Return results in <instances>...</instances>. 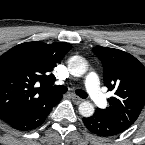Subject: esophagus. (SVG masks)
I'll use <instances>...</instances> for the list:
<instances>
[{
    "instance_id": "esophagus-1",
    "label": "esophagus",
    "mask_w": 145,
    "mask_h": 145,
    "mask_svg": "<svg viewBox=\"0 0 145 145\" xmlns=\"http://www.w3.org/2000/svg\"><path fill=\"white\" fill-rule=\"evenodd\" d=\"M72 100H73V102H74L75 104H79V103H81V102L83 101L82 98H79V97L76 96V95H72Z\"/></svg>"
}]
</instances>
